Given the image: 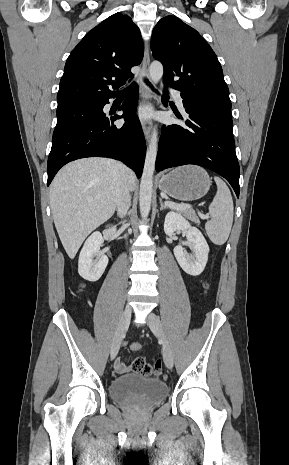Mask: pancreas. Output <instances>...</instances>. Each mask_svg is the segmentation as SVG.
<instances>
[{"instance_id": "obj_1", "label": "pancreas", "mask_w": 289, "mask_h": 465, "mask_svg": "<svg viewBox=\"0 0 289 465\" xmlns=\"http://www.w3.org/2000/svg\"><path fill=\"white\" fill-rule=\"evenodd\" d=\"M178 211L192 222L199 223V218L192 208L178 209Z\"/></svg>"}]
</instances>
